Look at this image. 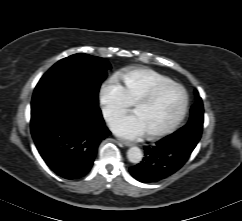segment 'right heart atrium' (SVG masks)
Here are the masks:
<instances>
[{"instance_id": "d8ad5b80", "label": "right heart atrium", "mask_w": 242, "mask_h": 221, "mask_svg": "<svg viewBox=\"0 0 242 221\" xmlns=\"http://www.w3.org/2000/svg\"><path fill=\"white\" fill-rule=\"evenodd\" d=\"M99 103L106 120L126 112L132 105L119 83L113 79L105 80L99 87Z\"/></svg>"}]
</instances>
